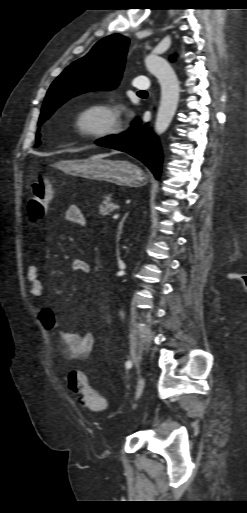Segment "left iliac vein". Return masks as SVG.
Instances as JSON below:
<instances>
[{"label": "left iliac vein", "mask_w": 247, "mask_h": 513, "mask_svg": "<svg viewBox=\"0 0 247 513\" xmlns=\"http://www.w3.org/2000/svg\"><path fill=\"white\" fill-rule=\"evenodd\" d=\"M144 387H145V379H144V377H140L137 387H136V394H135L136 400H138L141 397V395L144 391Z\"/></svg>", "instance_id": "1"}]
</instances>
